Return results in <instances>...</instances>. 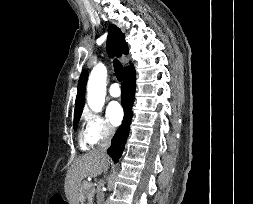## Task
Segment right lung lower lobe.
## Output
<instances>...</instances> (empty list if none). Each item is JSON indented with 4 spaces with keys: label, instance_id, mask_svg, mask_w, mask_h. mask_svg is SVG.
Returning <instances> with one entry per match:
<instances>
[{
    "label": "right lung lower lobe",
    "instance_id": "1",
    "mask_svg": "<svg viewBox=\"0 0 253 204\" xmlns=\"http://www.w3.org/2000/svg\"><path fill=\"white\" fill-rule=\"evenodd\" d=\"M136 84V73L133 66L124 73V83L122 85L121 102L124 109V119L111 140V146L107 153L114 162H118L124 150V144L128 136L130 122L132 118V105L134 102Z\"/></svg>",
    "mask_w": 253,
    "mask_h": 204
}]
</instances>
